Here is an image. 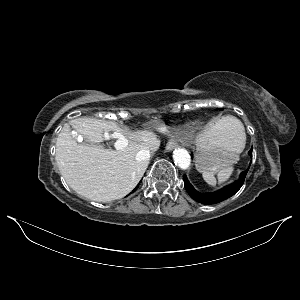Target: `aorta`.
I'll use <instances>...</instances> for the list:
<instances>
[{"label":"aorta","mask_w":300,"mask_h":300,"mask_svg":"<svg viewBox=\"0 0 300 300\" xmlns=\"http://www.w3.org/2000/svg\"><path fill=\"white\" fill-rule=\"evenodd\" d=\"M174 163L181 169H187L191 163L190 154L186 149L177 148L173 152Z\"/></svg>","instance_id":"obj_1"}]
</instances>
